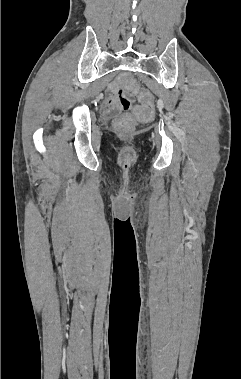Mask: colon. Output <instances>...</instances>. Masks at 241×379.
<instances>
[{"label":"colon","mask_w":241,"mask_h":379,"mask_svg":"<svg viewBox=\"0 0 241 379\" xmlns=\"http://www.w3.org/2000/svg\"><path fill=\"white\" fill-rule=\"evenodd\" d=\"M116 101L123 110H129L132 107V101L130 97L123 92L116 93ZM139 102L141 105L135 106L134 109L136 117H149L155 107L154 104L150 102V99L147 95H145V97H141ZM134 124L135 118L131 115H126L116 122V127L123 132H129L133 129Z\"/></svg>","instance_id":"obj_1"}]
</instances>
